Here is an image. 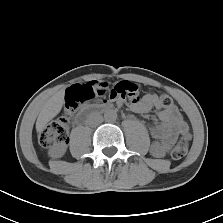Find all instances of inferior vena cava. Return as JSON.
Masks as SVG:
<instances>
[{
	"label": "inferior vena cava",
	"instance_id": "inferior-vena-cava-1",
	"mask_svg": "<svg viewBox=\"0 0 223 223\" xmlns=\"http://www.w3.org/2000/svg\"><path fill=\"white\" fill-rule=\"evenodd\" d=\"M102 122H103V117L101 115H99V114H95L91 118V120L89 122V125H91V126H97V125L101 124Z\"/></svg>",
	"mask_w": 223,
	"mask_h": 223
}]
</instances>
